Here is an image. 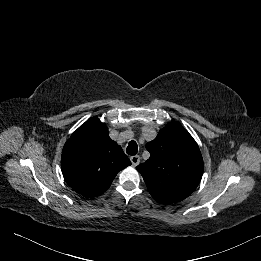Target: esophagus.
Segmentation results:
<instances>
[{"label":"esophagus","mask_w":261,"mask_h":261,"mask_svg":"<svg viewBox=\"0 0 261 261\" xmlns=\"http://www.w3.org/2000/svg\"><path fill=\"white\" fill-rule=\"evenodd\" d=\"M130 160L133 166H137L140 162V157L138 155L131 156Z\"/></svg>","instance_id":"obj_1"}]
</instances>
